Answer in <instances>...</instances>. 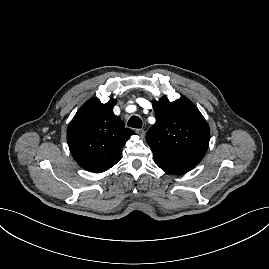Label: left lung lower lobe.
<instances>
[{
	"mask_svg": "<svg viewBox=\"0 0 269 269\" xmlns=\"http://www.w3.org/2000/svg\"><path fill=\"white\" fill-rule=\"evenodd\" d=\"M156 164L166 173L173 175L186 173L196 166L192 164H159V163Z\"/></svg>",
	"mask_w": 269,
	"mask_h": 269,
	"instance_id": "1",
	"label": "left lung lower lobe"
}]
</instances>
